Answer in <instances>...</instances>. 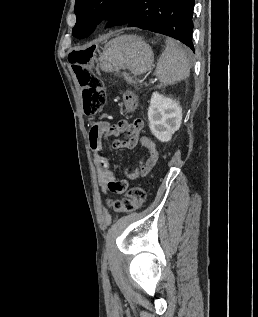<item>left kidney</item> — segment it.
Here are the masks:
<instances>
[{
	"label": "left kidney",
	"instance_id": "obj_1",
	"mask_svg": "<svg viewBox=\"0 0 258 317\" xmlns=\"http://www.w3.org/2000/svg\"><path fill=\"white\" fill-rule=\"evenodd\" d=\"M148 120L154 136L161 142H168L175 130L180 128L182 108L178 100L153 92L148 108Z\"/></svg>",
	"mask_w": 258,
	"mask_h": 317
}]
</instances>
